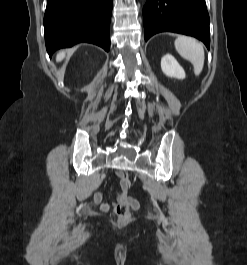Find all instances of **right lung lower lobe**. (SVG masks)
Masks as SVG:
<instances>
[{
	"label": "right lung lower lobe",
	"instance_id": "right-lung-lower-lobe-1",
	"mask_svg": "<svg viewBox=\"0 0 247 265\" xmlns=\"http://www.w3.org/2000/svg\"><path fill=\"white\" fill-rule=\"evenodd\" d=\"M113 0H47L44 32L47 52L76 43L110 49V20Z\"/></svg>",
	"mask_w": 247,
	"mask_h": 265
}]
</instances>
